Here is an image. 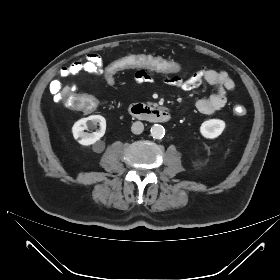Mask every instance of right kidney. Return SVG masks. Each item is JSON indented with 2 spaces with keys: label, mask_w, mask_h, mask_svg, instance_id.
<instances>
[{
  "label": "right kidney",
  "mask_w": 280,
  "mask_h": 280,
  "mask_svg": "<svg viewBox=\"0 0 280 280\" xmlns=\"http://www.w3.org/2000/svg\"><path fill=\"white\" fill-rule=\"evenodd\" d=\"M99 124L98 131L93 133L84 132L85 129L96 128ZM106 131V120L101 115H91L75 122L72 127L73 136L81 145L88 146L94 144L104 136Z\"/></svg>",
  "instance_id": "ca27d5eb"
}]
</instances>
